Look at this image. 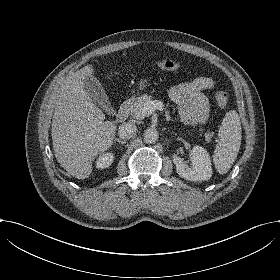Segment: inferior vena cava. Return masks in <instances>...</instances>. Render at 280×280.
Instances as JSON below:
<instances>
[{"label": "inferior vena cava", "mask_w": 280, "mask_h": 280, "mask_svg": "<svg viewBox=\"0 0 280 280\" xmlns=\"http://www.w3.org/2000/svg\"><path fill=\"white\" fill-rule=\"evenodd\" d=\"M137 131V126L132 123H123L118 128V135L122 139L131 138Z\"/></svg>", "instance_id": "obj_1"}]
</instances>
